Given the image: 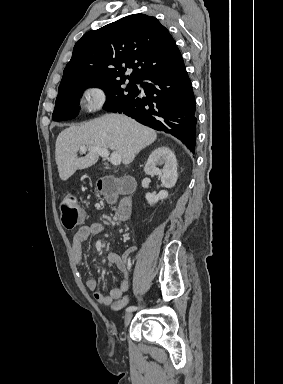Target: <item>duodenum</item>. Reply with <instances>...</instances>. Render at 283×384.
Wrapping results in <instances>:
<instances>
[{"label":"duodenum","mask_w":283,"mask_h":384,"mask_svg":"<svg viewBox=\"0 0 283 384\" xmlns=\"http://www.w3.org/2000/svg\"><path fill=\"white\" fill-rule=\"evenodd\" d=\"M108 183L105 185L107 187ZM131 210V203L128 197L124 198L122 202L117 206L115 215L119 220L125 221L128 219Z\"/></svg>","instance_id":"1"}]
</instances>
